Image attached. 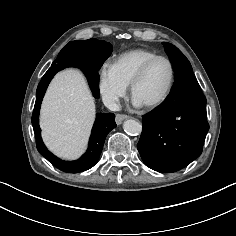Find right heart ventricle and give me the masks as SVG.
I'll list each match as a JSON object with an SVG mask.
<instances>
[{"mask_svg": "<svg viewBox=\"0 0 236 236\" xmlns=\"http://www.w3.org/2000/svg\"><path fill=\"white\" fill-rule=\"evenodd\" d=\"M155 56V52L145 48L132 49L119 54L112 66L121 81L129 86L142 65Z\"/></svg>", "mask_w": 236, "mask_h": 236, "instance_id": "obj_1", "label": "right heart ventricle"}]
</instances>
